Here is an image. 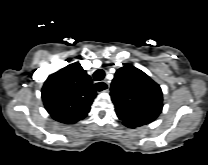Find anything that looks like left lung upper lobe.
Returning a JSON list of instances; mask_svg holds the SVG:
<instances>
[{"label":"left lung upper lobe","instance_id":"obj_1","mask_svg":"<svg viewBox=\"0 0 208 165\" xmlns=\"http://www.w3.org/2000/svg\"><path fill=\"white\" fill-rule=\"evenodd\" d=\"M110 95L118 118L129 128L151 123L163 108L160 86L133 66L116 71Z\"/></svg>","mask_w":208,"mask_h":165}]
</instances>
